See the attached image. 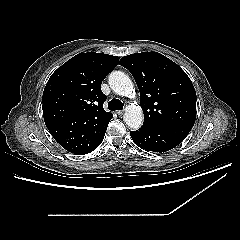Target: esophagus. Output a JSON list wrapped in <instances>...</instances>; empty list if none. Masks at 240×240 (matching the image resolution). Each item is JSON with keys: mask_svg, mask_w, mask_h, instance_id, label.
<instances>
[{"mask_svg": "<svg viewBox=\"0 0 240 240\" xmlns=\"http://www.w3.org/2000/svg\"><path fill=\"white\" fill-rule=\"evenodd\" d=\"M118 115H123L124 111L123 110H119L116 112Z\"/></svg>", "mask_w": 240, "mask_h": 240, "instance_id": "1", "label": "esophagus"}]
</instances>
